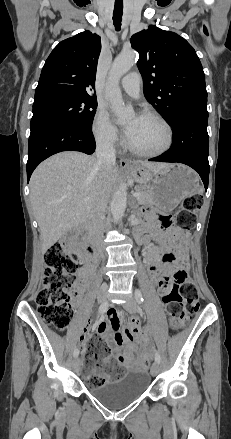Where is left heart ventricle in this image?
<instances>
[{"mask_svg":"<svg viewBox=\"0 0 231 439\" xmlns=\"http://www.w3.org/2000/svg\"><path fill=\"white\" fill-rule=\"evenodd\" d=\"M135 122L129 144L142 151H153L161 148L167 139L164 126L154 118L138 116L128 119L126 125Z\"/></svg>","mask_w":231,"mask_h":439,"instance_id":"obj_1","label":"left heart ventricle"}]
</instances>
